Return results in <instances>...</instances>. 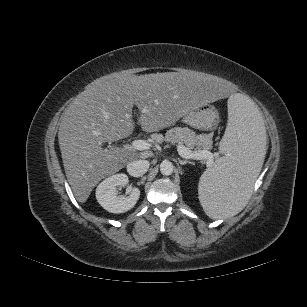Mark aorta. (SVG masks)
I'll use <instances>...</instances> for the list:
<instances>
[{
    "label": "aorta",
    "instance_id": "762f6f07",
    "mask_svg": "<svg viewBox=\"0 0 307 307\" xmlns=\"http://www.w3.org/2000/svg\"><path fill=\"white\" fill-rule=\"evenodd\" d=\"M173 169H174L173 164L168 160H164L160 164V172L162 173V175L165 176L171 175L173 173Z\"/></svg>",
    "mask_w": 307,
    "mask_h": 307
}]
</instances>
